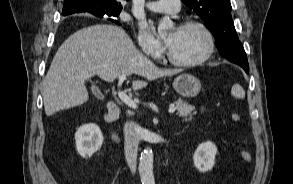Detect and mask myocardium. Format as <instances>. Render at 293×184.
I'll return each instance as SVG.
<instances>
[{
    "instance_id": "1",
    "label": "myocardium",
    "mask_w": 293,
    "mask_h": 184,
    "mask_svg": "<svg viewBox=\"0 0 293 184\" xmlns=\"http://www.w3.org/2000/svg\"><path fill=\"white\" fill-rule=\"evenodd\" d=\"M178 28L179 29H187V28L200 29L203 32V34L206 36L207 48H206V51L203 53V55H201L199 58L194 60H180L176 58L168 49L167 58L171 63L178 66H182V67H193V66L201 65L213 55L215 51V47H216V41H215L214 34L212 33V31L206 24L200 21H185L181 23Z\"/></svg>"
}]
</instances>
